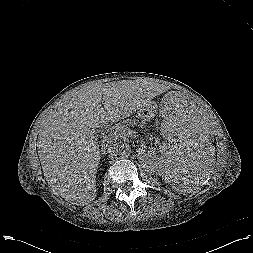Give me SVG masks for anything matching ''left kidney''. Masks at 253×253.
<instances>
[{"label":"left kidney","mask_w":253,"mask_h":253,"mask_svg":"<svg viewBox=\"0 0 253 253\" xmlns=\"http://www.w3.org/2000/svg\"><path fill=\"white\" fill-rule=\"evenodd\" d=\"M187 187H185L184 185H181L180 188H178V190L180 189V191H182V189H186Z\"/></svg>","instance_id":"5707ae66"}]
</instances>
